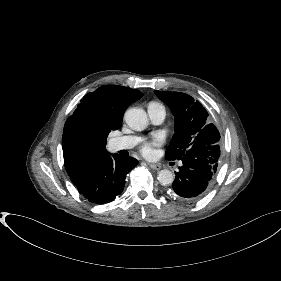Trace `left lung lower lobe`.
I'll return each instance as SVG.
<instances>
[{"label":"left lung lower lobe","instance_id":"0a47b994","mask_svg":"<svg viewBox=\"0 0 281 281\" xmlns=\"http://www.w3.org/2000/svg\"><path fill=\"white\" fill-rule=\"evenodd\" d=\"M219 158V144L191 147L181 159L183 165L175 172L172 183L174 196L184 202L201 198L217 171Z\"/></svg>","mask_w":281,"mask_h":281}]
</instances>
